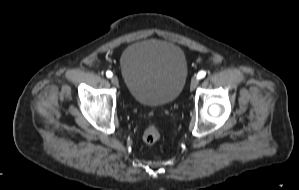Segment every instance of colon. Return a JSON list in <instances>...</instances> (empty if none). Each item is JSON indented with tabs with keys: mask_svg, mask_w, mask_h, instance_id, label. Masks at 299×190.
I'll list each match as a JSON object with an SVG mask.
<instances>
[{
	"mask_svg": "<svg viewBox=\"0 0 299 190\" xmlns=\"http://www.w3.org/2000/svg\"><path fill=\"white\" fill-rule=\"evenodd\" d=\"M160 138V128L155 123L148 124L143 131V140L147 144H154Z\"/></svg>",
	"mask_w": 299,
	"mask_h": 190,
	"instance_id": "colon-1",
	"label": "colon"
}]
</instances>
